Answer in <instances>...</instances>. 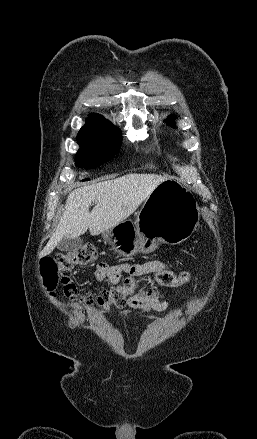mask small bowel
<instances>
[{
    "label": "small bowel",
    "mask_w": 257,
    "mask_h": 439,
    "mask_svg": "<svg viewBox=\"0 0 257 439\" xmlns=\"http://www.w3.org/2000/svg\"><path fill=\"white\" fill-rule=\"evenodd\" d=\"M163 270H169V266L160 260H151L143 264L125 262L112 266L100 263L96 267L95 277L99 282L108 281L112 286H115L119 284L122 274L140 277ZM126 305L128 309L120 311L119 316L124 319H131L134 314L147 317L151 311H163L167 307V302L160 298L157 288L150 287L146 291L128 298Z\"/></svg>",
    "instance_id": "small-bowel-1"
}]
</instances>
